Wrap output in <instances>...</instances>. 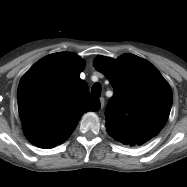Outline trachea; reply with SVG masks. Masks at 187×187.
Here are the masks:
<instances>
[{
  "instance_id": "3493384b",
  "label": "trachea",
  "mask_w": 187,
  "mask_h": 187,
  "mask_svg": "<svg viewBox=\"0 0 187 187\" xmlns=\"http://www.w3.org/2000/svg\"><path fill=\"white\" fill-rule=\"evenodd\" d=\"M91 96L92 97H100L101 96V84L100 83H95L92 86Z\"/></svg>"
}]
</instances>
